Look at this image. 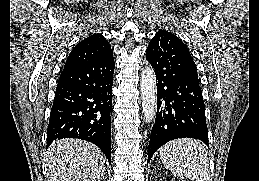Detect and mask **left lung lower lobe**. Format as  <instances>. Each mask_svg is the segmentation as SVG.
<instances>
[{
    "instance_id": "left-lung-lower-lobe-1",
    "label": "left lung lower lobe",
    "mask_w": 259,
    "mask_h": 181,
    "mask_svg": "<svg viewBox=\"0 0 259 181\" xmlns=\"http://www.w3.org/2000/svg\"><path fill=\"white\" fill-rule=\"evenodd\" d=\"M186 50L177 37L150 41L146 59L157 81V113L148 146V162L170 140L195 138L208 145L205 106L199 82L187 72Z\"/></svg>"
}]
</instances>
